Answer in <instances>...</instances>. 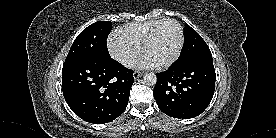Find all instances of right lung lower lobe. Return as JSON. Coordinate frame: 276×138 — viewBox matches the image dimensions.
Wrapping results in <instances>:
<instances>
[{"instance_id": "obj_1", "label": "right lung lower lobe", "mask_w": 276, "mask_h": 138, "mask_svg": "<svg viewBox=\"0 0 276 138\" xmlns=\"http://www.w3.org/2000/svg\"><path fill=\"white\" fill-rule=\"evenodd\" d=\"M133 71L111 57L81 56L66 60L62 90L71 110L86 122L103 124L126 108Z\"/></svg>"}]
</instances>
